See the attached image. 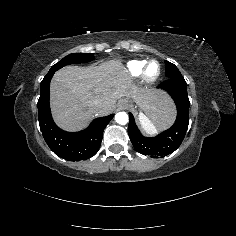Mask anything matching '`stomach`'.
Masks as SVG:
<instances>
[{
    "instance_id": "stomach-1",
    "label": "stomach",
    "mask_w": 236,
    "mask_h": 236,
    "mask_svg": "<svg viewBox=\"0 0 236 236\" xmlns=\"http://www.w3.org/2000/svg\"><path fill=\"white\" fill-rule=\"evenodd\" d=\"M151 89H152V87L151 86H149L148 87V91H151ZM124 99H126L127 101H128V106H129V108L130 107H133V102H134V100L133 99H130V98H124Z\"/></svg>"
}]
</instances>
